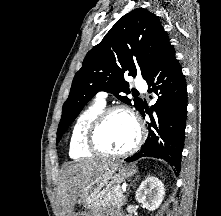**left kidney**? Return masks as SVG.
<instances>
[{
  "instance_id": "obj_1",
  "label": "left kidney",
  "mask_w": 221,
  "mask_h": 216,
  "mask_svg": "<svg viewBox=\"0 0 221 216\" xmlns=\"http://www.w3.org/2000/svg\"><path fill=\"white\" fill-rule=\"evenodd\" d=\"M165 188L157 177H147L136 191V200L149 211L156 210L164 199Z\"/></svg>"
}]
</instances>
